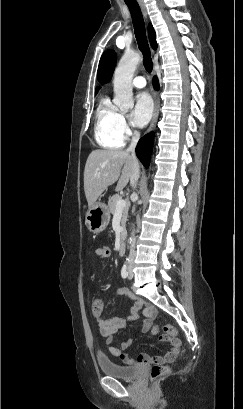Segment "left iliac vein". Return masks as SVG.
I'll list each match as a JSON object with an SVG mask.
<instances>
[{
	"mask_svg": "<svg viewBox=\"0 0 243 409\" xmlns=\"http://www.w3.org/2000/svg\"><path fill=\"white\" fill-rule=\"evenodd\" d=\"M128 273H129V278L131 279L133 277V271H132V266L130 265L128 268Z\"/></svg>",
	"mask_w": 243,
	"mask_h": 409,
	"instance_id": "obj_1",
	"label": "left iliac vein"
}]
</instances>
